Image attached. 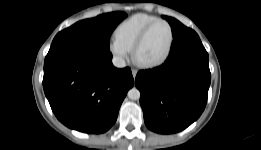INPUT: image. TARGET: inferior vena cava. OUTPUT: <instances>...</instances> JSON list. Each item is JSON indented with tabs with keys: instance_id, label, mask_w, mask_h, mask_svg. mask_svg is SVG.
<instances>
[{
	"instance_id": "602c4592",
	"label": "inferior vena cava",
	"mask_w": 261,
	"mask_h": 150,
	"mask_svg": "<svg viewBox=\"0 0 261 150\" xmlns=\"http://www.w3.org/2000/svg\"><path fill=\"white\" fill-rule=\"evenodd\" d=\"M112 62L117 68H124L126 66V62L122 57L115 56L113 57Z\"/></svg>"
}]
</instances>
